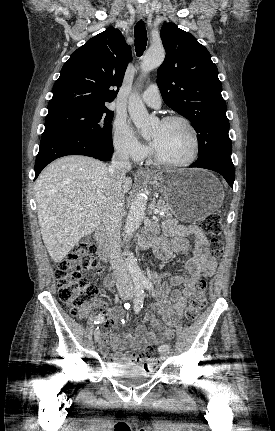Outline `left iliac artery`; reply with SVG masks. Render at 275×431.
Masks as SVG:
<instances>
[{
    "label": "left iliac artery",
    "instance_id": "obj_1",
    "mask_svg": "<svg viewBox=\"0 0 275 431\" xmlns=\"http://www.w3.org/2000/svg\"><path fill=\"white\" fill-rule=\"evenodd\" d=\"M142 284H143V286H144L146 289H148V290H151V289L153 288L152 283H151L148 279H144V280H143V282H142ZM169 348H170V346H169L168 344H164V345H161V346L158 348V351H159L160 353H162L163 351H165V350H167V349H169Z\"/></svg>",
    "mask_w": 275,
    "mask_h": 431
}]
</instances>
